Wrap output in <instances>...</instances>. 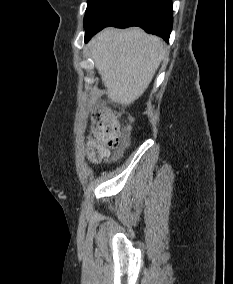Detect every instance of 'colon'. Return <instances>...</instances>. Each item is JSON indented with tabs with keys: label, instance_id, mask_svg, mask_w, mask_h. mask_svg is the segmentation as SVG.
Here are the masks:
<instances>
[{
	"label": "colon",
	"instance_id": "colon-1",
	"mask_svg": "<svg viewBox=\"0 0 233 284\" xmlns=\"http://www.w3.org/2000/svg\"><path fill=\"white\" fill-rule=\"evenodd\" d=\"M119 146L118 127L110 113L97 108L92 115V130L88 142V157L100 162L106 160L111 151Z\"/></svg>",
	"mask_w": 233,
	"mask_h": 284
}]
</instances>
